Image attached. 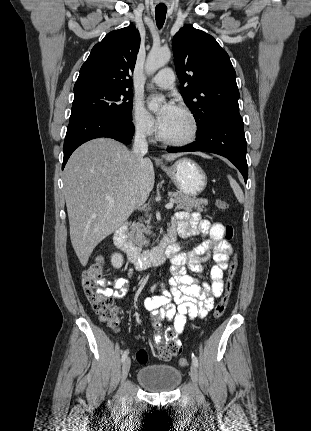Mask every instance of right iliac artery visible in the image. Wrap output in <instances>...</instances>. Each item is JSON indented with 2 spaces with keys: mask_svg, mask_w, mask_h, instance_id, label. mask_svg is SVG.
<instances>
[{
  "mask_svg": "<svg viewBox=\"0 0 311 431\" xmlns=\"http://www.w3.org/2000/svg\"><path fill=\"white\" fill-rule=\"evenodd\" d=\"M127 356H128V350H126V351L123 353L121 361H122V362H124V361L126 360Z\"/></svg>",
  "mask_w": 311,
  "mask_h": 431,
  "instance_id": "obj_1",
  "label": "right iliac artery"
}]
</instances>
